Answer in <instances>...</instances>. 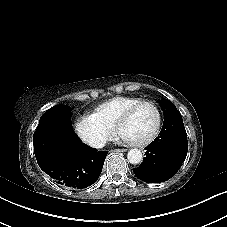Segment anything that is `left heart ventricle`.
I'll return each mask as SVG.
<instances>
[{"label":"left heart ventricle","mask_w":227,"mask_h":227,"mask_svg":"<svg viewBox=\"0 0 227 227\" xmlns=\"http://www.w3.org/2000/svg\"><path fill=\"white\" fill-rule=\"evenodd\" d=\"M154 112L150 107L138 109L132 119L131 131L138 136H146L154 126Z\"/></svg>","instance_id":"1"}]
</instances>
